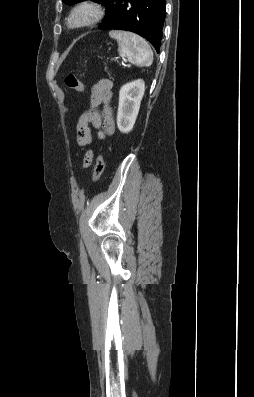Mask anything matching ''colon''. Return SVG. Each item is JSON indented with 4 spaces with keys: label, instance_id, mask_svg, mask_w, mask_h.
<instances>
[{
    "label": "colon",
    "instance_id": "5ec220e1",
    "mask_svg": "<svg viewBox=\"0 0 254 397\" xmlns=\"http://www.w3.org/2000/svg\"><path fill=\"white\" fill-rule=\"evenodd\" d=\"M65 84L69 89L74 90L78 94H82L84 92V85L80 79V75L78 72L70 73L65 78ZM104 170V157L100 153L96 159L94 172H93V181L97 182Z\"/></svg>",
    "mask_w": 254,
    "mask_h": 397
}]
</instances>
